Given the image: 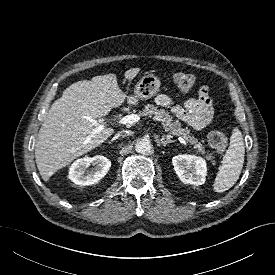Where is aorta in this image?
<instances>
[{
    "mask_svg": "<svg viewBox=\"0 0 275 275\" xmlns=\"http://www.w3.org/2000/svg\"><path fill=\"white\" fill-rule=\"evenodd\" d=\"M152 149V144L148 138L140 139L135 144V150L139 154H149Z\"/></svg>",
    "mask_w": 275,
    "mask_h": 275,
    "instance_id": "obj_1",
    "label": "aorta"
}]
</instances>
